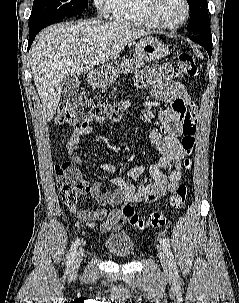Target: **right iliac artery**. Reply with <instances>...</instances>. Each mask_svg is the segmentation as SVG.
<instances>
[{"instance_id":"right-iliac-artery-1","label":"right iliac artery","mask_w":239,"mask_h":303,"mask_svg":"<svg viewBox=\"0 0 239 303\" xmlns=\"http://www.w3.org/2000/svg\"><path fill=\"white\" fill-rule=\"evenodd\" d=\"M78 245H79V239L77 238L75 240V242L72 244L70 252H69V254L67 256V264H66L67 269L70 268V266L72 265V263H73V261L75 259Z\"/></svg>"}]
</instances>
